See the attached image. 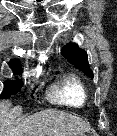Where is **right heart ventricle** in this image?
Masks as SVG:
<instances>
[{"mask_svg": "<svg viewBox=\"0 0 117 136\" xmlns=\"http://www.w3.org/2000/svg\"><path fill=\"white\" fill-rule=\"evenodd\" d=\"M50 98L54 102L69 107H83L88 100L86 86L80 78L68 75L55 82L51 87Z\"/></svg>", "mask_w": 117, "mask_h": 136, "instance_id": "1", "label": "right heart ventricle"}]
</instances>
